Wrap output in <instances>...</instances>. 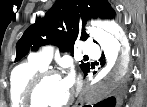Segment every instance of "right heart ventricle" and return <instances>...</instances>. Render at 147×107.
Instances as JSON below:
<instances>
[{
    "label": "right heart ventricle",
    "instance_id": "1",
    "mask_svg": "<svg viewBox=\"0 0 147 107\" xmlns=\"http://www.w3.org/2000/svg\"><path fill=\"white\" fill-rule=\"evenodd\" d=\"M46 66L34 60H28L16 66L11 73L9 98L12 107H26L25 91L32 78Z\"/></svg>",
    "mask_w": 147,
    "mask_h": 107
}]
</instances>
